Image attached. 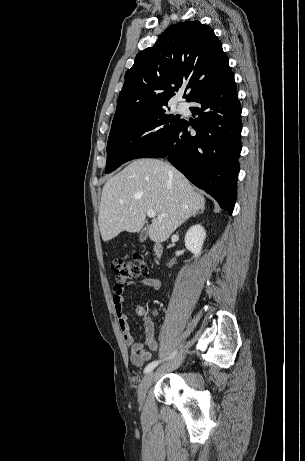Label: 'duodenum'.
<instances>
[{
	"label": "duodenum",
	"mask_w": 305,
	"mask_h": 461,
	"mask_svg": "<svg viewBox=\"0 0 305 461\" xmlns=\"http://www.w3.org/2000/svg\"><path fill=\"white\" fill-rule=\"evenodd\" d=\"M162 253V245L159 242L153 244V255L155 258L160 257Z\"/></svg>",
	"instance_id": "410a0bca"
}]
</instances>
